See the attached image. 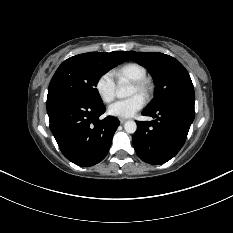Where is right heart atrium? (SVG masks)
Segmentation results:
<instances>
[{
  "instance_id": "1",
  "label": "right heart atrium",
  "mask_w": 233,
  "mask_h": 233,
  "mask_svg": "<svg viewBox=\"0 0 233 233\" xmlns=\"http://www.w3.org/2000/svg\"><path fill=\"white\" fill-rule=\"evenodd\" d=\"M95 91L104 103H110L116 95V85L109 73L100 75L95 82Z\"/></svg>"
}]
</instances>
